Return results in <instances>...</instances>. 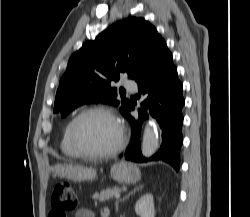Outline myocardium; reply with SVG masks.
<instances>
[{
  "instance_id": "f54148a6",
  "label": "myocardium",
  "mask_w": 250,
  "mask_h": 217,
  "mask_svg": "<svg viewBox=\"0 0 250 217\" xmlns=\"http://www.w3.org/2000/svg\"><path fill=\"white\" fill-rule=\"evenodd\" d=\"M91 113H102L107 115L117 126L118 129V140L116 144L109 150L103 152H90L83 149L77 141L76 138V125L78 121ZM69 141L73 148L77 151L80 157L89 158V159H103L115 156L118 154L125 146L127 141L126 129L119 118V116L112 110L110 107L105 105H92L82 109L69 123L68 128Z\"/></svg>"
}]
</instances>
